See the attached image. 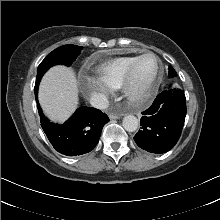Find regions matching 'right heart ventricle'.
Wrapping results in <instances>:
<instances>
[{"label": "right heart ventricle", "mask_w": 220, "mask_h": 220, "mask_svg": "<svg viewBox=\"0 0 220 220\" xmlns=\"http://www.w3.org/2000/svg\"><path fill=\"white\" fill-rule=\"evenodd\" d=\"M137 57V55L116 57L98 65L96 67L98 77L114 89L120 88L128 68Z\"/></svg>", "instance_id": "1"}]
</instances>
